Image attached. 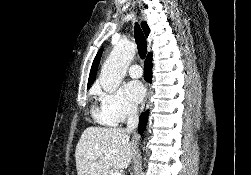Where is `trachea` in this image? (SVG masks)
<instances>
[{
    "mask_svg": "<svg viewBox=\"0 0 251 175\" xmlns=\"http://www.w3.org/2000/svg\"><path fill=\"white\" fill-rule=\"evenodd\" d=\"M134 35H135V41H136L137 48H138V53H139L140 57L142 59H144L147 54V42H146V38H145L140 26L137 24V22L134 27Z\"/></svg>",
    "mask_w": 251,
    "mask_h": 175,
    "instance_id": "1",
    "label": "trachea"
}]
</instances>
